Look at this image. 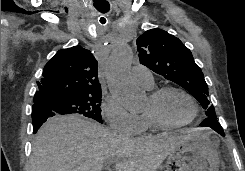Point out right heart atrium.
I'll use <instances>...</instances> for the list:
<instances>
[{
    "mask_svg": "<svg viewBox=\"0 0 245 171\" xmlns=\"http://www.w3.org/2000/svg\"><path fill=\"white\" fill-rule=\"evenodd\" d=\"M102 115L107 125L118 134L135 136L143 130L141 116L129 112L113 98L103 103Z\"/></svg>",
    "mask_w": 245,
    "mask_h": 171,
    "instance_id": "obj_1",
    "label": "right heart atrium"
}]
</instances>
